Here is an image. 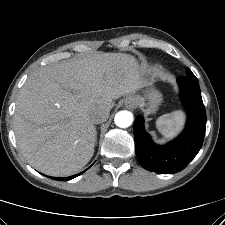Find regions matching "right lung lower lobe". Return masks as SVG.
Instances as JSON below:
<instances>
[{
  "label": "right lung lower lobe",
  "instance_id": "right-lung-lower-lobe-1",
  "mask_svg": "<svg viewBox=\"0 0 225 225\" xmlns=\"http://www.w3.org/2000/svg\"><path fill=\"white\" fill-rule=\"evenodd\" d=\"M81 173L77 174V175H73V176H70V177H64V178H54V177H50L52 179H55V180H64V181H68V180H71L72 178H75L76 176L80 175Z\"/></svg>",
  "mask_w": 225,
  "mask_h": 225
}]
</instances>
